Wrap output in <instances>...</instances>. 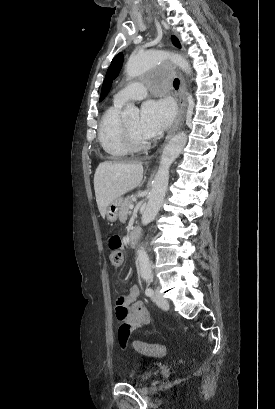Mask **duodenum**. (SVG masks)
<instances>
[{
    "mask_svg": "<svg viewBox=\"0 0 275 409\" xmlns=\"http://www.w3.org/2000/svg\"><path fill=\"white\" fill-rule=\"evenodd\" d=\"M139 238H140V230L139 228L135 227L131 230L130 235H129L130 247L134 248L137 245Z\"/></svg>",
    "mask_w": 275,
    "mask_h": 409,
    "instance_id": "obj_1",
    "label": "duodenum"
}]
</instances>
